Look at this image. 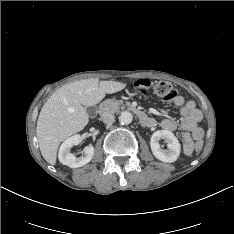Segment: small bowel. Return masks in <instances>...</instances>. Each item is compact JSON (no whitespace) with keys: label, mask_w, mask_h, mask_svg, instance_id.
I'll return each instance as SVG.
<instances>
[{"label":"small bowel","mask_w":234,"mask_h":234,"mask_svg":"<svg viewBox=\"0 0 234 234\" xmlns=\"http://www.w3.org/2000/svg\"><path fill=\"white\" fill-rule=\"evenodd\" d=\"M171 101L174 105L180 107L181 120L165 118L158 125L165 131H175L180 127L184 131V150L189 152L192 139H199L203 135L202 129L199 127L202 113L193 101H185L184 97L181 95L175 94ZM156 125V120L150 118L149 124L145 126L155 127Z\"/></svg>","instance_id":"1"}]
</instances>
